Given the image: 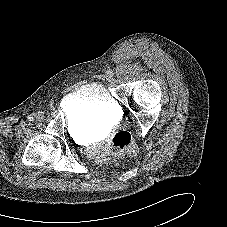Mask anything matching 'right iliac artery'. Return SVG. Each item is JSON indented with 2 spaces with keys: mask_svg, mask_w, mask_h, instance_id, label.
Wrapping results in <instances>:
<instances>
[{
  "mask_svg": "<svg viewBox=\"0 0 227 227\" xmlns=\"http://www.w3.org/2000/svg\"><path fill=\"white\" fill-rule=\"evenodd\" d=\"M27 118H28L30 121H32V120H33V115H29Z\"/></svg>",
  "mask_w": 227,
  "mask_h": 227,
  "instance_id": "right-iliac-artery-1",
  "label": "right iliac artery"
}]
</instances>
